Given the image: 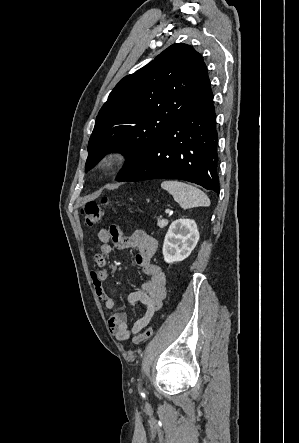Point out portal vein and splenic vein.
<instances>
[{"label": "portal vein and splenic vein", "instance_id": "1", "mask_svg": "<svg viewBox=\"0 0 299 443\" xmlns=\"http://www.w3.org/2000/svg\"><path fill=\"white\" fill-rule=\"evenodd\" d=\"M166 213H169L170 212V210L169 209H166V211H165Z\"/></svg>", "mask_w": 299, "mask_h": 443}]
</instances>
